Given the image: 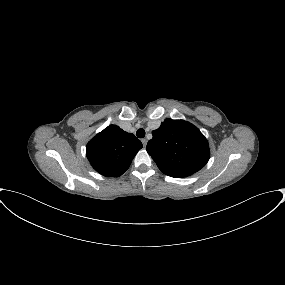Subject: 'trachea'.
<instances>
[{
	"label": "trachea",
	"instance_id": "obj_1",
	"mask_svg": "<svg viewBox=\"0 0 285 285\" xmlns=\"http://www.w3.org/2000/svg\"><path fill=\"white\" fill-rule=\"evenodd\" d=\"M136 136L138 138H144L145 137V130L142 129V128L138 129L137 132H136Z\"/></svg>",
	"mask_w": 285,
	"mask_h": 285
}]
</instances>
